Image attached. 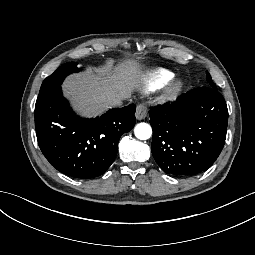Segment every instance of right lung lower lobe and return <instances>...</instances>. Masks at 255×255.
<instances>
[{
	"label": "right lung lower lobe",
	"instance_id": "right-lung-lower-lobe-1",
	"mask_svg": "<svg viewBox=\"0 0 255 255\" xmlns=\"http://www.w3.org/2000/svg\"><path fill=\"white\" fill-rule=\"evenodd\" d=\"M136 106L114 108L100 117L74 114L61 88L38 96L35 128L39 147L58 171L75 178L102 175L113 163L123 133L135 125Z\"/></svg>",
	"mask_w": 255,
	"mask_h": 255
}]
</instances>
